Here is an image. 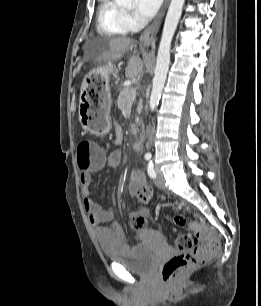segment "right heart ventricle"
Wrapping results in <instances>:
<instances>
[{"instance_id":"1","label":"right heart ventricle","mask_w":261,"mask_h":306,"mask_svg":"<svg viewBox=\"0 0 261 306\" xmlns=\"http://www.w3.org/2000/svg\"><path fill=\"white\" fill-rule=\"evenodd\" d=\"M97 30L100 34L109 36H122L129 31L124 20V11L114 0H99Z\"/></svg>"}]
</instances>
